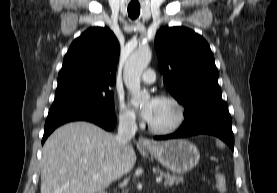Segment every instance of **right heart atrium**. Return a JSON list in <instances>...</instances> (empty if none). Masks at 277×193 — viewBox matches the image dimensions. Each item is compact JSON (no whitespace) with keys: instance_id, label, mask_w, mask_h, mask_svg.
<instances>
[{"instance_id":"obj_1","label":"right heart atrium","mask_w":277,"mask_h":193,"mask_svg":"<svg viewBox=\"0 0 277 193\" xmlns=\"http://www.w3.org/2000/svg\"><path fill=\"white\" fill-rule=\"evenodd\" d=\"M119 120L123 125L133 126L136 124L137 117L133 110L128 108L123 101H119Z\"/></svg>"}]
</instances>
